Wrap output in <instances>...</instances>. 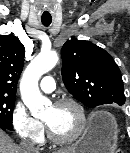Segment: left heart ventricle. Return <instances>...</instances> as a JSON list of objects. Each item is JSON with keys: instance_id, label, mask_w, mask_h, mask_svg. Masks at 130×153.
<instances>
[{"instance_id": "1", "label": "left heart ventricle", "mask_w": 130, "mask_h": 153, "mask_svg": "<svg viewBox=\"0 0 130 153\" xmlns=\"http://www.w3.org/2000/svg\"><path fill=\"white\" fill-rule=\"evenodd\" d=\"M60 137L73 135L79 125L77 111L70 105L50 106L43 118Z\"/></svg>"}]
</instances>
